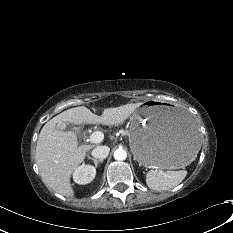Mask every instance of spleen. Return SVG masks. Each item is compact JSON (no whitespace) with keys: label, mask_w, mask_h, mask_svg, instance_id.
<instances>
[{"label":"spleen","mask_w":233,"mask_h":233,"mask_svg":"<svg viewBox=\"0 0 233 233\" xmlns=\"http://www.w3.org/2000/svg\"><path fill=\"white\" fill-rule=\"evenodd\" d=\"M185 176L186 171L184 170L165 172L150 170L146 175V184L150 189L165 191L180 184Z\"/></svg>","instance_id":"1"}]
</instances>
